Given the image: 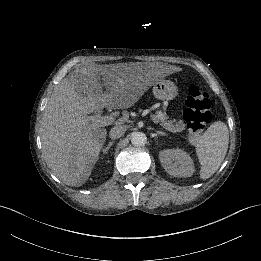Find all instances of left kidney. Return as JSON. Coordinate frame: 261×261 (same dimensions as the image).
Here are the masks:
<instances>
[{"instance_id": "5707ae66", "label": "left kidney", "mask_w": 261, "mask_h": 261, "mask_svg": "<svg viewBox=\"0 0 261 261\" xmlns=\"http://www.w3.org/2000/svg\"><path fill=\"white\" fill-rule=\"evenodd\" d=\"M159 160L165 171L175 177L185 178L194 172L191 158L180 149H169L160 152Z\"/></svg>"}]
</instances>
